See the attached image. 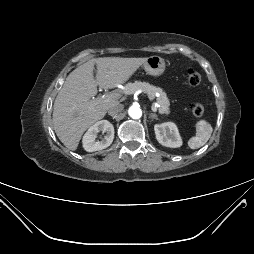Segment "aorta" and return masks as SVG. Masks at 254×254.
Returning a JSON list of instances; mask_svg holds the SVG:
<instances>
[{
    "instance_id": "aorta-1",
    "label": "aorta",
    "mask_w": 254,
    "mask_h": 254,
    "mask_svg": "<svg viewBox=\"0 0 254 254\" xmlns=\"http://www.w3.org/2000/svg\"><path fill=\"white\" fill-rule=\"evenodd\" d=\"M129 116L133 119H138L142 116V111L139 106L133 105L128 110Z\"/></svg>"
}]
</instances>
